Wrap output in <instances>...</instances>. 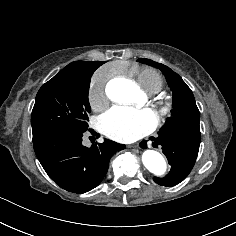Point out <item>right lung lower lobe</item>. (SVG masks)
<instances>
[{"label":"right lung lower lobe","mask_w":236,"mask_h":236,"mask_svg":"<svg viewBox=\"0 0 236 236\" xmlns=\"http://www.w3.org/2000/svg\"><path fill=\"white\" fill-rule=\"evenodd\" d=\"M84 132L56 129L33 135L36 156L46 173L61 188L79 194L95 188L107 173L110 158L125 148L108 139L87 148L82 144Z\"/></svg>","instance_id":"right-lung-lower-lobe-1"}]
</instances>
